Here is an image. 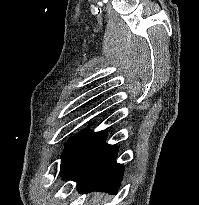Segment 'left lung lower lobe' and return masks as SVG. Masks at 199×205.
Masks as SVG:
<instances>
[{
    "label": "left lung lower lobe",
    "instance_id": "obj_1",
    "mask_svg": "<svg viewBox=\"0 0 199 205\" xmlns=\"http://www.w3.org/2000/svg\"><path fill=\"white\" fill-rule=\"evenodd\" d=\"M105 139V131L91 133L71 170L63 177L76 182L80 193H117L124 167L116 162L118 147L105 143Z\"/></svg>",
    "mask_w": 199,
    "mask_h": 205
}]
</instances>
